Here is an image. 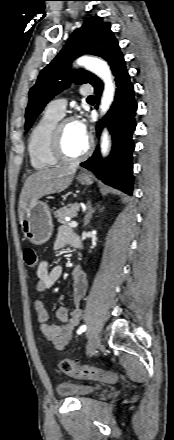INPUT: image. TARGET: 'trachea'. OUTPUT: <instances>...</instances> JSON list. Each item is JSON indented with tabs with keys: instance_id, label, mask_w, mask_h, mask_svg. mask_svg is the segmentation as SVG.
I'll return each mask as SVG.
<instances>
[{
	"instance_id": "1",
	"label": "trachea",
	"mask_w": 174,
	"mask_h": 440,
	"mask_svg": "<svg viewBox=\"0 0 174 440\" xmlns=\"http://www.w3.org/2000/svg\"><path fill=\"white\" fill-rule=\"evenodd\" d=\"M94 99H95V96H93V95H91L87 98V100H94Z\"/></svg>"
}]
</instances>
